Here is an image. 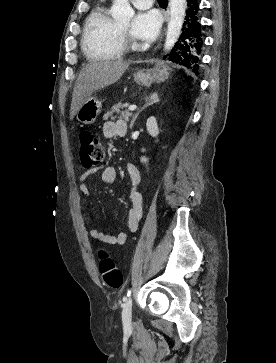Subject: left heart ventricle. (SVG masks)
I'll list each match as a JSON object with an SVG mask.
<instances>
[{"label":"left heart ventricle","instance_id":"b2bd125f","mask_svg":"<svg viewBox=\"0 0 276 363\" xmlns=\"http://www.w3.org/2000/svg\"><path fill=\"white\" fill-rule=\"evenodd\" d=\"M123 29H125V30H129V28H130V26H131V23L130 22H128V23H125V24H121L120 25Z\"/></svg>","mask_w":276,"mask_h":363}]
</instances>
